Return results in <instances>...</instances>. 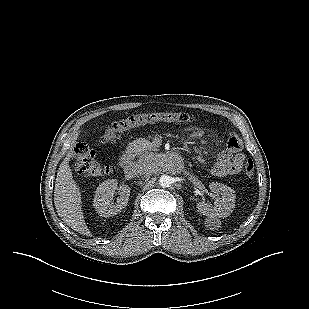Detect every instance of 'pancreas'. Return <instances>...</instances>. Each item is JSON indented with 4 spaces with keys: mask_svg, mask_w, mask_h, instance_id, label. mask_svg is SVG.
Segmentation results:
<instances>
[{
    "mask_svg": "<svg viewBox=\"0 0 309 309\" xmlns=\"http://www.w3.org/2000/svg\"><path fill=\"white\" fill-rule=\"evenodd\" d=\"M140 146V153H138V158L139 160H144V158L146 157L148 150L152 149V146L149 142L144 141L142 143H139Z\"/></svg>",
    "mask_w": 309,
    "mask_h": 309,
    "instance_id": "1",
    "label": "pancreas"
}]
</instances>
